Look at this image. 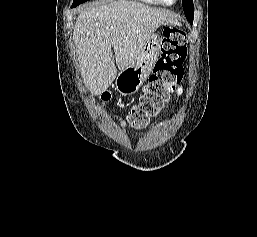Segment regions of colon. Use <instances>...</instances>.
<instances>
[{
	"label": "colon",
	"mask_w": 257,
	"mask_h": 237,
	"mask_svg": "<svg viewBox=\"0 0 257 237\" xmlns=\"http://www.w3.org/2000/svg\"><path fill=\"white\" fill-rule=\"evenodd\" d=\"M186 53V34L174 27L165 28L160 42V56L139 103L131 108L125 118L127 124L136 129L143 128L161 110L168 94L182 76ZM110 97L109 93H104L102 101L107 102Z\"/></svg>",
	"instance_id": "1"
}]
</instances>
